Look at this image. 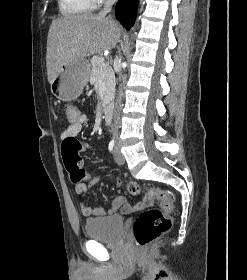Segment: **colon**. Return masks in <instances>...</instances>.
I'll use <instances>...</instances> for the list:
<instances>
[{
    "label": "colon",
    "mask_w": 247,
    "mask_h": 280,
    "mask_svg": "<svg viewBox=\"0 0 247 280\" xmlns=\"http://www.w3.org/2000/svg\"><path fill=\"white\" fill-rule=\"evenodd\" d=\"M64 114L70 122H74L79 118L80 110L74 104L68 103L64 106ZM85 148L77 139H67L62 142V157L65 168L72 183L80 191L92 190L93 185L103 183L102 177L86 176L80 156V152ZM128 191L132 195L141 194L143 200L147 203L159 202V208L144 210L134 222V243L137 247H144L170 229L172 224L171 214L174 208L173 199L166 190L158 188L142 190L136 183H130Z\"/></svg>",
    "instance_id": "1"
}]
</instances>
